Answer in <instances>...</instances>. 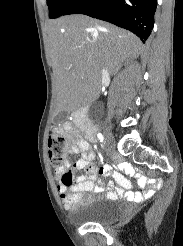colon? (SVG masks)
Wrapping results in <instances>:
<instances>
[{"instance_id":"obj_1","label":"colon","mask_w":183,"mask_h":246,"mask_svg":"<svg viewBox=\"0 0 183 246\" xmlns=\"http://www.w3.org/2000/svg\"><path fill=\"white\" fill-rule=\"evenodd\" d=\"M49 160L54 169L63 167L67 161V145L61 134L53 133L48 140ZM67 173H72L71 171ZM67 183H71L73 178H64Z\"/></svg>"}]
</instances>
